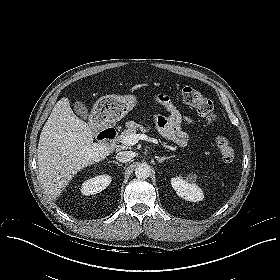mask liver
I'll use <instances>...</instances> for the list:
<instances>
[{"label": "liver", "mask_w": 280, "mask_h": 280, "mask_svg": "<svg viewBox=\"0 0 280 280\" xmlns=\"http://www.w3.org/2000/svg\"><path fill=\"white\" fill-rule=\"evenodd\" d=\"M110 154L102 143H93V131L72 111L67 97L54 106L43 126L37 149L40 182L45 193L56 199L72 177Z\"/></svg>", "instance_id": "liver-1"}]
</instances>
